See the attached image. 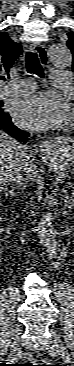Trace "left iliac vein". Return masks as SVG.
<instances>
[{
	"mask_svg": "<svg viewBox=\"0 0 74 366\" xmlns=\"http://www.w3.org/2000/svg\"><path fill=\"white\" fill-rule=\"evenodd\" d=\"M49 333L51 334L50 342L52 344V348L60 352L63 360L66 363H70L71 362L70 356L60 338V335L53 328H49Z\"/></svg>",
	"mask_w": 74,
	"mask_h": 366,
	"instance_id": "left-iliac-vein-1",
	"label": "left iliac vein"
}]
</instances>
